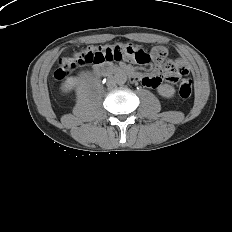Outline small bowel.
Segmentation results:
<instances>
[{
  "instance_id": "obj_1",
  "label": "small bowel",
  "mask_w": 232,
  "mask_h": 232,
  "mask_svg": "<svg viewBox=\"0 0 232 232\" xmlns=\"http://www.w3.org/2000/svg\"><path fill=\"white\" fill-rule=\"evenodd\" d=\"M174 65L177 68H185L184 62L181 59H176ZM164 78H167V73L161 66L158 65L156 66L154 73L144 75L140 78V80L147 87H156Z\"/></svg>"
}]
</instances>
